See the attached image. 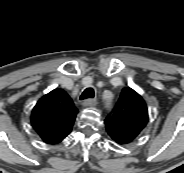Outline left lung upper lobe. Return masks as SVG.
<instances>
[{
    "label": "left lung upper lobe",
    "instance_id": "5c2ea615",
    "mask_svg": "<svg viewBox=\"0 0 184 173\" xmlns=\"http://www.w3.org/2000/svg\"><path fill=\"white\" fill-rule=\"evenodd\" d=\"M147 121L145 101L137 92L127 87L122 90L113 112L105 119V125L112 139L128 144L142 132Z\"/></svg>",
    "mask_w": 184,
    "mask_h": 173
}]
</instances>
